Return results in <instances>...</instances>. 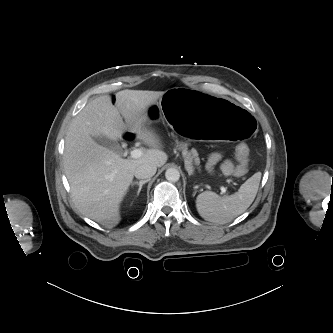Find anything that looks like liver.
Here are the masks:
<instances>
[{
    "mask_svg": "<svg viewBox=\"0 0 333 333\" xmlns=\"http://www.w3.org/2000/svg\"><path fill=\"white\" fill-rule=\"evenodd\" d=\"M162 91L123 90L116 94L115 105L109 96L89 102L70 124L63 155L72 201L86 217L108 228L120 220V203L141 164L162 167L168 159L156 148L159 138L146 128L148 108ZM123 118L125 123L123 122ZM128 130L152 149L138 159H123L120 154L97 143L94 138L117 141Z\"/></svg>",
    "mask_w": 333,
    "mask_h": 333,
    "instance_id": "liver-1",
    "label": "liver"
}]
</instances>
